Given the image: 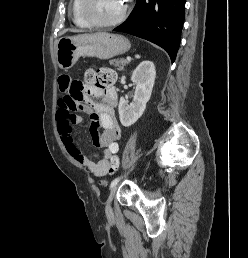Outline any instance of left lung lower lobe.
Returning <instances> with one entry per match:
<instances>
[{
	"mask_svg": "<svg viewBox=\"0 0 248 258\" xmlns=\"http://www.w3.org/2000/svg\"><path fill=\"white\" fill-rule=\"evenodd\" d=\"M186 0H137L129 18L114 31L146 39L165 49L174 62L180 44Z\"/></svg>",
	"mask_w": 248,
	"mask_h": 258,
	"instance_id": "left-lung-lower-lobe-1",
	"label": "left lung lower lobe"
}]
</instances>
